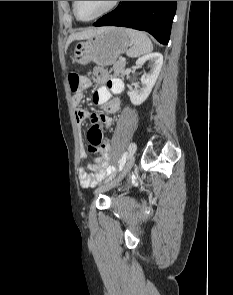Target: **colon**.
<instances>
[{
  "instance_id": "5ec220e1",
  "label": "colon",
  "mask_w": 233,
  "mask_h": 295,
  "mask_svg": "<svg viewBox=\"0 0 233 295\" xmlns=\"http://www.w3.org/2000/svg\"><path fill=\"white\" fill-rule=\"evenodd\" d=\"M69 84L71 91L74 94L82 93L91 86L89 79L82 77L77 73L69 74ZM87 139L89 151L93 154L99 153L102 147V132L98 126H92L89 129Z\"/></svg>"
}]
</instances>
